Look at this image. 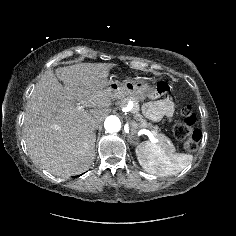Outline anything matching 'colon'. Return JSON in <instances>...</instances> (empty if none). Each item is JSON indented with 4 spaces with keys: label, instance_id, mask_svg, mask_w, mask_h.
<instances>
[{
    "label": "colon",
    "instance_id": "5ec220e1",
    "mask_svg": "<svg viewBox=\"0 0 236 236\" xmlns=\"http://www.w3.org/2000/svg\"><path fill=\"white\" fill-rule=\"evenodd\" d=\"M160 90L167 91V86L162 85ZM197 122V114L190 106H185L182 110V120L174 128L176 138L182 141L184 148L189 152L197 150L202 137L201 131L196 127Z\"/></svg>",
    "mask_w": 236,
    "mask_h": 236
}]
</instances>
